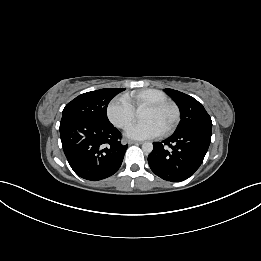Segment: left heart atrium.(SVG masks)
Listing matches in <instances>:
<instances>
[{"label":"left heart atrium","mask_w":261,"mask_h":261,"mask_svg":"<svg viewBox=\"0 0 261 261\" xmlns=\"http://www.w3.org/2000/svg\"><path fill=\"white\" fill-rule=\"evenodd\" d=\"M164 133V129L155 121L147 120L131 125L126 136L133 139H151Z\"/></svg>","instance_id":"obj_1"}]
</instances>
